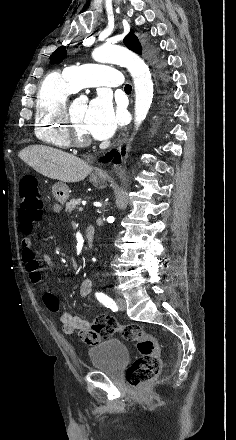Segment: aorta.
<instances>
[{"label": "aorta", "instance_id": "aorta-1", "mask_svg": "<svg viewBox=\"0 0 236 440\" xmlns=\"http://www.w3.org/2000/svg\"><path fill=\"white\" fill-rule=\"evenodd\" d=\"M95 61L113 63L126 67L130 72L135 88V125L145 120L153 99V82L145 62L135 53L119 45H103L92 53Z\"/></svg>", "mask_w": 236, "mask_h": 440}]
</instances>
